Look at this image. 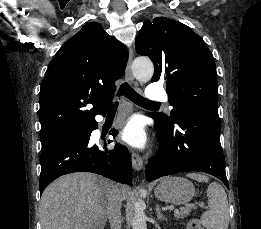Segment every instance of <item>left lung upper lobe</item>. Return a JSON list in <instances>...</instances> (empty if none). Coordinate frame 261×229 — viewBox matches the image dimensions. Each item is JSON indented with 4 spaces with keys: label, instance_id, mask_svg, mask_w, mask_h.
Wrapping results in <instances>:
<instances>
[{
    "label": "left lung upper lobe",
    "instance_id": "left-lung-upper-lobe-1",
    "mask_svg": "<svg viewBox=\"0 0 261 229\" xmlns=\"http://www.w3.org/2000/svg\"><path fill=\"white\" fill-rule=\"evenodd\" d=\"M135 47L138 54L153 61L151 81L167 80L171 116L152 114L163 126L173 129L174 124L193 112L219 119L215 62L200 36L180 22L157 17L144 22Z\"/></svg>",
    "mask_w": 261,
    "mask_h": 229
}]
</instances>
